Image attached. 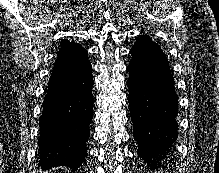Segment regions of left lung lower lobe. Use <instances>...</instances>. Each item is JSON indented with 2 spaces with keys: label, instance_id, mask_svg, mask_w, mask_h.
Returning a JSON list of instances; mask_svg holds the SVG:
<instances>
[{
  "label": "left lung lower lobe",
  "instance_id": "left-lung-lower-lobe-1",
  "mask_svg": "<svg viewBox=\"0 0 219 173\" xmlns=\"http://www.w3.org/2000/svg\"><path fill=\"white\" fill-rule=\"evenodd\" d=\"M129 71L130 116L138 155L147 166L169 161L177 138L178 96L161 47L141 35L132 47Z\"/></svg>",
  "mask_w": 219,
  "mask_h": 173
}]
</instances>
